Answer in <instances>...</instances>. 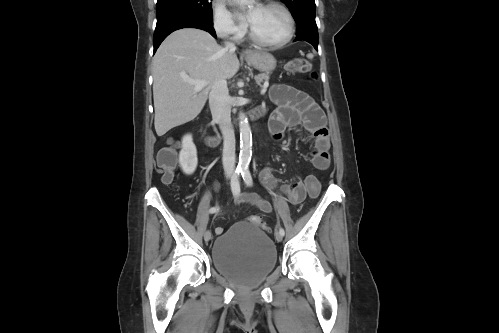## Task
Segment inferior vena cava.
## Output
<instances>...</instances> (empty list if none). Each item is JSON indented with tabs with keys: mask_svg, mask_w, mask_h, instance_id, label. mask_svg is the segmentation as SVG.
Segmentation results:
<instances>
[{
	"mask_svg": "<svg viewBox=\"0 0 499 333\" xmlns=\"http://www.w3.org/2000/svg\"><path fill=\"white\" fill-rule=\"evenodd\" d=\"M226 49L235 50L231 42H225ZM209 105L213 120L223 135V168L226 174L235 171V135L231 123L230 97L225 78H218L211 87Z\"/></svg>",
	"mask_w": 499,
	"mask_h": 333,
	"instance_id": "602c4592",
	"label": "inferior vena cava"
}]
</instances>
